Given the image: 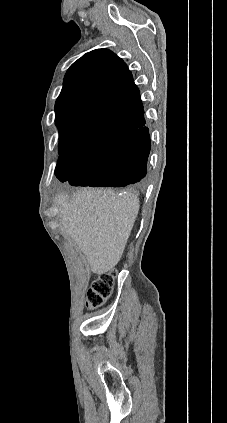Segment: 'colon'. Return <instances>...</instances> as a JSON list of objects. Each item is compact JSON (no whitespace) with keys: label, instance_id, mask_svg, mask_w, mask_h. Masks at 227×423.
I'll list each match as a JSON object with an SVG mask.
<instances>
[{"label":"colon","instance_id":"5ec220e1","mask_svg":"<svg viewBox=\"0 0 227 423\" xmlns=\"http://www.w3.org/2000/svg\"><path fill=\"white\" fill-rule=\"evenodd\" d=\"M114 276L111 273L102 274L92 281L86 296L89 308L101 306L110 296L113 288Z\"/></svg>","mask_w":227,"mask_h":423}]
</instances>
